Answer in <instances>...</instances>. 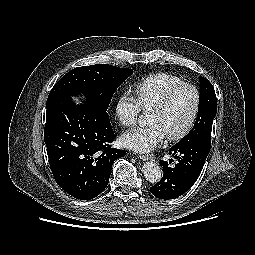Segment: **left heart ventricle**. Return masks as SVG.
<instances>
[{
  "label": "left heart ventricle",
  "mask_w": 255,
  "mask_h": 255,
  "mask_svg": "<svg viewBox=\"0 0 255 255\" xmlns=\"http://www.w3.org/2000/svg\"><path fill=\"white\" fill-rule=\"evenodd\" d=\"M195 104V94L189 88L177 91L163 110L149 111L147 123H157L167 135L180 132L188 123Z\"/></svg>",
  "instance_id": "b2bd125f"
}]
</instances>
